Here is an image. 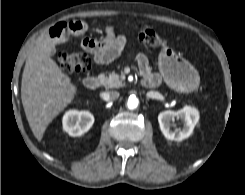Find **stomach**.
<instances>
[{
	"label": "stomach",
	"instance_id": "0dacf381",
	"mask_svg": "<svg viewBox=\"0 0 245 195\" xmlns=\"http://www.w3.org/2000/svg\"><path fill=\"white\" fill-rule=\"evenodd\" d=\"M159 69L167 84L180 92H192L199 85L196 70L170 48H163L159 56Z\"/></svg>",
	"mask_w": 245,
	"mask_h": 195
}]
</instances>
